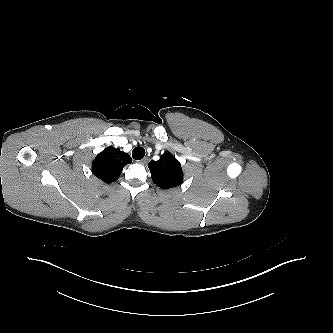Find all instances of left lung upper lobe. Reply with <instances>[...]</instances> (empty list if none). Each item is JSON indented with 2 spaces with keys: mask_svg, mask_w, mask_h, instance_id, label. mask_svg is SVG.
Masks as SVG:
<instances>
[{
  "mask_svg": "<svg viewBox=\"0 0 333 333\" xmlns=\"http://www.w3.org/2000/svg\"><path fill=\"white\" fill-rule=\"evenodd\" d=\"M153 182L162 189L180 185L183 172L180 162L169 152H164L158 161L149 162Z\"/></svg>",
  "mask_w": 333,
  "mask_h": 333,
  "instance_id": "5c2ea615",
  "label": "left lung upper lobe"
}]
</instances>
